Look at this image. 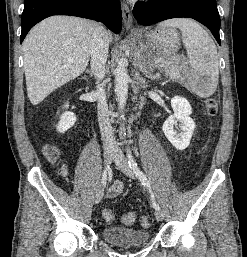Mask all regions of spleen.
<instances>
[{"label":"spleen","instance_id":"1","mask_svg":"<svg viewBox=\"0 0 247 257\" xmlns=\"http://www.w3.org/2000/svg\"><path fill=\"white\" fill-rule=\"evenodd\" d=\"M159 27L180 29L183 43L187 50L194 83H201L194 88L201 97L212 95L218 84L219 64L217 48L208 33L195 21L188 18L166 20Z\"/></svg>","mask_w":247,"mask_h":257}]
</instances>
